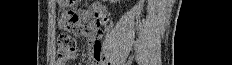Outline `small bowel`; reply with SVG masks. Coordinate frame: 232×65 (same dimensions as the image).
<instances>
[{
    "label": "small bowel",
    "mask_w": 232,
    "mask_h": 65,
    "mask_svg": "<svg viewBox=\"0 0 232 65\" xmlns=\"http://www.w3.org/2000/svg\"><path fill=\"white\" fill-rule=\"evenodd\" d=\"M78 20L89 22V26L85 29H79L76 26ZM108 24V18L104 14L103 10L99 6H93L89 10H84L81 12H62L60 20V31L63 33H68V28H72L74 33L87 34L91 39L89 58L87 65H100L101 64V54L102 45L100 38L102 36V28ZM76 57V52L72 51L65 56H61L56 60L57 65H66L69 61Z\"/></svg>",
    "instance_id": "c3829d8e"
}]
</instances>
